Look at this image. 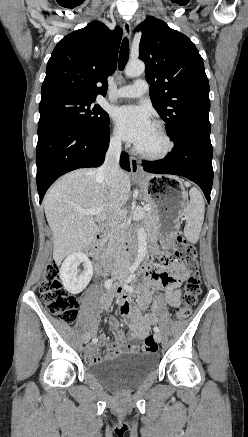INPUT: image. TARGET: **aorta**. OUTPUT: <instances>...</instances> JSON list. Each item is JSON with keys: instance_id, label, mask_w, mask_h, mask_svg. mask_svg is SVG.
<instances>
[{"instance_id": "762f6f07", "label": "aorta", "mask_w": 248, "mask_h": 437, "mask_svg": "<svg viewBox=\"0 0 248 437\" xmlns=\"http://www.w3.org/2000/svg\"><path fill=\"white\" fill-rule=\"evenodd\" d=\"M145 71V65L142 61H131L125 68V75L127 77H137L143 74ZM138 239V254L139 260L143 259L147 255V234L143 227L137 229Z\"/></svg>"}]
</instances>
